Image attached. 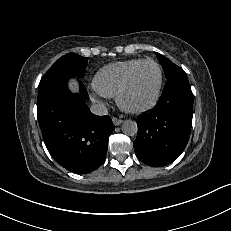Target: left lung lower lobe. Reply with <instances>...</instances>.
Instances as JSON below:
<instances>
[{
	"label": "left lung lower lobe",
	"mask_w": 231,
	"mask_h": 231,
	"mask_svg": "<svg viewBox=\"0 0 231 231\" xmlns=\"http://www.w3.org/2000/svg\"><path fill=\"white\" fill-rule=\"evenodd\" d=\"M193 93L181 70L167 78L153 110L136 119L135 154L143 163L161 167L173 162L186 147L192 125Z\"/></svg>",
	"instance_id": "1"
}]
</instances>
